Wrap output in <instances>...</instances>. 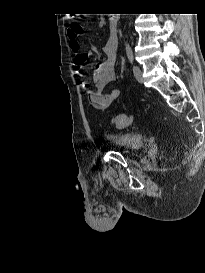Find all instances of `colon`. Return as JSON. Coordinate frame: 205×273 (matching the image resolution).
<instances>
[{
	"instance_id": "1",
	"label": "colon",
	"mask_w": 205,
	"mask_h": 273,
	"mask_svg": "<svg viewBox=\"0 0 205 273\" xmlns=\"http://www.w3.org/2000/svg\"><path fill=\"white\" fill-rule=\"evenodd\" d=\"M83 32L80 24L72 22L68 25L69 36L79 37ZM131 117L127 114L117 115L112 118V123L118 128H124L131 124Z\"/></svg>"
}]
</instances>
